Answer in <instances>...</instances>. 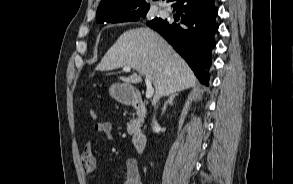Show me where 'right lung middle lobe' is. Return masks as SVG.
<instances>
[{"label":"right lung middle lobe","mask_w":293,"mask_h":184,"mask_svg":"<svg viewBox=\"0 0 293 184\" xmlns=\"http://www.w3.org/2000/svg\"><path fill=\"white\" fill-rule=\"evenodd\" d=\"M146 13L147 11H144V12H140V13H137L129 18H126L124 20H121L120 22H126V21H138L139 19L143 18L146 16ZM159 18H155L154 20H158Z\"/></svg>","instance_id":"dd1d6c3e"}]
</instances>
